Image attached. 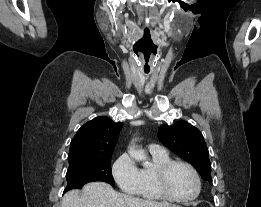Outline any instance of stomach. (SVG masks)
<instances>
[{"mask_svg":"<svg viewBox=\"0 0 261 207\" xmlns=\"http://www.w3.org/2000/svg\"><path fill=\"white\" fill-rule=\"evenodd\" d=\"M168 207H180V206L170 204Z\"/></svg>","mask_w":261,"mask_h":207,"instance_id":"obj_1","label":"stomach"}]
</instances>
